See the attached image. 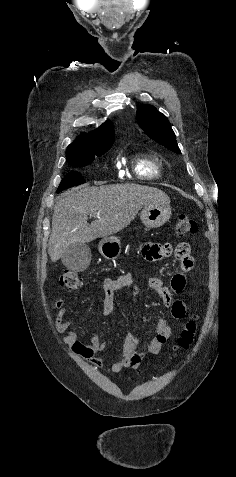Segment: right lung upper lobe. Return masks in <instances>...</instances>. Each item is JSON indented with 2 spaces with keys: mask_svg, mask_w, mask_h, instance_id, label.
Returning <instances> with one entry per match:
<instances>
[{
  "mask_svg": "<svg viewBox=\"0 0 236 477\" xmlns=\"http://www.w3.org/2000/svg\"><path fill=\"white\" fill-rule=\"evenodd\" d=\"M114 142V128L112 122L107 120L94 132L82 133L67 148V160L74 157L91 154L97 150L109 148Z\"/></svg>",
  "mask_w": 236,
  "mask_h": 477,
  "instance_id": "1",
  "label": "right lung upper lobe"
}]
</instances>
